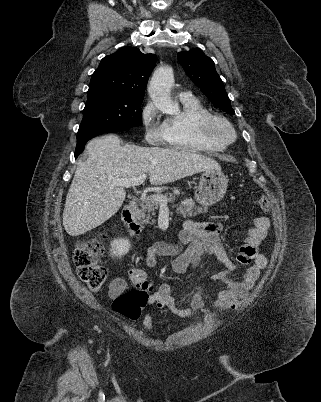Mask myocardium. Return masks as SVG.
Instances as JSON below:
<instances>
[{
    "label": "myocardium",
    "mask_w": 321,
    "mask_h": 402,
    "mask_svg": "<svg viewBox=\"0 0 321 402\" xmlns=\"http://www.w3.org/2000/svg\"><path fill=\"white\" fill-rule=\"evenodd\" d=\"M217 124L223 125L228 130V136L224 137L215 131ZM198 128L201 135L211 143L226 147L236 140V131L232 123L222 115L209 113L198 121Z\"/></svg>",
    "instance_id": "myocardium-1"
}]
</instances>
